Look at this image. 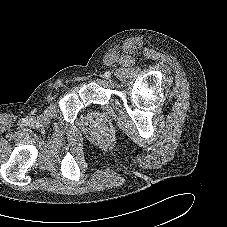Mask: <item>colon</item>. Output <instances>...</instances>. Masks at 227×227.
<instances>
[{"label":"colon","mask_w":227,"mask_h":227,"mask_svg":"<svg viewBox=\"0 0 227 227\" xmlns=\"http://www.w3.org/2000/svg\"><path fill=\"white\" fill-rule=\"evenodd\" d=\"M98 138L101 142H106L108 140V135L106 133H100Z\"/></svg>","instance_id":"1"}]
</instances>
